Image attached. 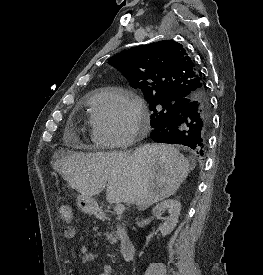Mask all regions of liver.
Wrapping results in <instances>:
<instances>
[{
    "label": "liver",
    "mask_w": 263,
    "mask_h": 275,
    "mask_svg": "<svg viewBox=\"0 0 263 275\" xmlns=\"http://www.w3.org/2000/svg\"><path fill=\"white\" fill-rule=\"evenodd\" d=\"M53 168L86 197L106 187L109 203L136 204L139 210L174 195L195 163L164 144H145L134 152L55 155Z\"/></svg>",
    "instance_id": "liver-1"
}]
</instances>
